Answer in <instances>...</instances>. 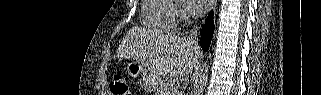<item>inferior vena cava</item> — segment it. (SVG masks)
<instances>
[{"label":"inferior vena cava","mask_w":321,"mask_h":95,"mask_svg":"<svg viewBox=\"0 0 321 95\" xmlns=\"http://www.w3.org/2000/svg\"><path fill=\"white\" fill-rule=\"evenodd\" d=\"M198 27L194 26V28L191 30V33L188 37L189 41H191L193 44L197 45V36H198Z\"/></svg>","instance_id":"602c4592"}]
</instances>
